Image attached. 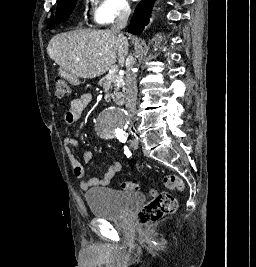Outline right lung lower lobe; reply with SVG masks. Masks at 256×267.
<instances>
[{"label": "right lung lower lobe", "mask_w": 256, "mask_h": 267, "mask_svg": "<svg viewBox=\"0 0 256 267\" xmlns=\"http://www.w3.org/2000/svg\"><path fill=\"white\" fill-rule=\"evenodd\" d=\"M153 4L154 0H145L137 5L128 27L130 33L139 35L143 31L145 25L149 22Z\"/></svg>", "instance_id": "right-lung-lower-lobe-1"}]
</instances>
